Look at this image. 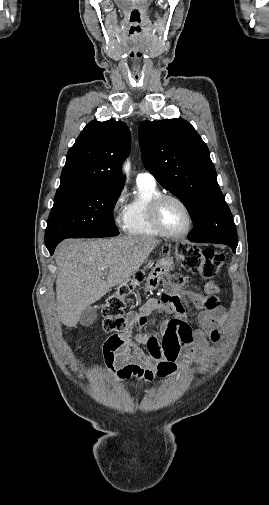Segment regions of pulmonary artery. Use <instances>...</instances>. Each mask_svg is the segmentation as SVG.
<instances>
[{
    "instance_id": "1",
    "label": "pulmonary artery",
    "mask_w": 269,
    "mask_h": 505,
    "mask_svg": "<svg viewBox=\"0 0 269 505\" xmlns=\"http://www.w3.org/2000/svg\"><path fill=\"white\" fill-rule=\"evenodd\" d=\"M137 183L156 185L155 177L149 172H140L136 178Z\"/></svg>"
}]
</instances>
